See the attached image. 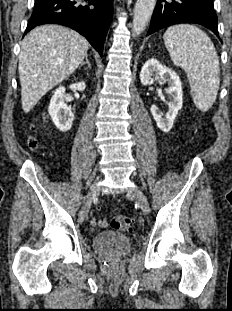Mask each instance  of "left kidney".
<instances>
[{
  "instance_id": "5707ae66",
  "label": "left kidney",
  "mask_w": 232,
  "mask_h": 311,
  "mask_svg": "<svg viewBox=\"0 0 232 311\" xmlns=\"http://www.w3.org/2000/svg\"><path fill=\"white\" fill-rule=\"evenodd\" d=\"M140 79L144 86L152 85L157 80L168 82V93L171 99L168 103L169 109L166 118L162 117L163 114L156 105L151 106V113L159 129L163 132H169L183 103L182 83L179 76L172 69L162 65L157 59L151 58L143 65Z\"/></svg>"
}]
</instances>
